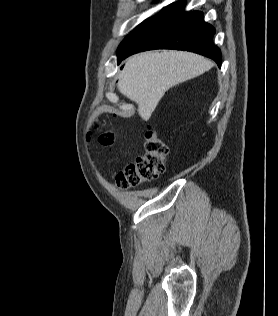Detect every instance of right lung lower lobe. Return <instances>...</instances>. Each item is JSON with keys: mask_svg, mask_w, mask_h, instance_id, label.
<instances>
[{"mask_svg": "<svg viewBox=\"0 0 278 316\" xmlns=\"http://www.w3.org/2000/svg\"><path fill=\"white\" fill-rule=\"evenodd\" d=\"M184 7V1L167 6L141 38L118 55V63L145 50L178 49L209 57L221 67L220 49L212 41L214 27L205 23L202 12H185Z\"/></svg>", "mask_w": 278, "mask_h": 316, "instance_id": "obj_1", "label": "right lung lower lobe"}]
</instances>
